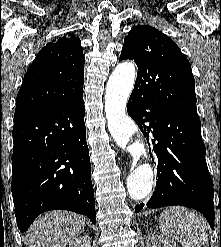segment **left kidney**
<instances>
[{
  "label": "left kidney",
  "instance_id": "left-kidney-1",
  "mask_svg": "<svg viewBox=\"0 0 221 247\" xmlns=\"http://www.w3.org/2000/svg\"><path fill=\"white\" fill-rule=\"evenodd\" d=\"M163 244L164 247H177L176 243L171 242L162 234H154L147 240V247H157L159 244Z\"/></svg>",
  "mask_w": 221,
  "mask_h": 247
}]
</instances>
